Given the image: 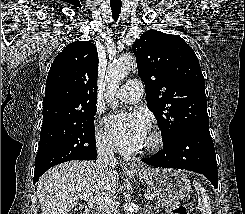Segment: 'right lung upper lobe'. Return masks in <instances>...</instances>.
Segmentation results:
<instances>
[{
  "mask_svg": "<svg viewBox=\"0 0 245 214\" xmlns=\"http://www.w3.org/2000/svg\"><path fill=\"white\" fill-rule=\"evenodd\" d=\"M98 53L89 41L68 44L54 59L46 81L41 133L75 123L96 109Z\"/></svg>",
  "mask_w": 245,
  "mask_h": 214,
  "instance_id": "obj_1",
  "label": "right lung upper lobe"
}]
</instances>
